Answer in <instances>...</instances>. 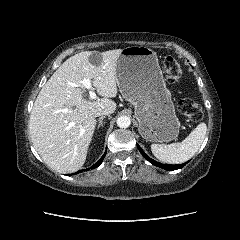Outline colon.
Wrapping results in <instances>:
<instances>
[{"label": "colon", "instance_id": "1", "mask_svg": "<svg viewBox=\"0 0 240 240\" xmlns=\"http://www.w3.org/2000/svg\"><path fill=\"white\" fill-rule=\"evenodd\" d=\"M163 69L170 83L177 82L182 76V66L175 57H167ZM178 110L182 115L193 121L199 120L203 115L200 105L190 99L179 100Z\"/></svg>", "mask_w": 240, "mask_h": 240}]
</instances>
